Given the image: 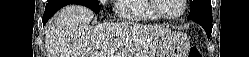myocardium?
<instances>
[{
  "label": "myocardium",
  "mask_w": 249,
  "mask_h": 57,
  "mask_svg": "<svg viewBox=\"0 0 249 57\" xmlns=\"http://www.w3.org/2000/svg\"><path fill=\"white\" fill-rule=\"evenodd\" d=\"M181 1V11L177 14H173V15H166V14H163L161 11H160V2L161 0H151V7H152V10L154 11V13L161 19H164V20H175V19H178L180 17H182V15L185 13L186 11V3L187 1L186 0H180Z\"/></svg>",
  "instance_id": "obj_1"
}]
</instances>
